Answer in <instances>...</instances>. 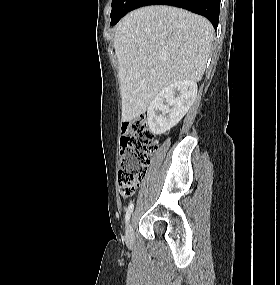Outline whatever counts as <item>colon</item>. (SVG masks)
I'll return each instance as SVG.
<instances>
[{
	"label": "colon",
	"instance_id": "1",
	"mask_svg": "<svg viewBox=\"0 0 280 285\" xmlns=\"http://www.w3.org/2000/svg\"><path fill=\"white\" fill-rule=\"evenodd\" d=\"M157 150V141L144 117L126 122L122 127L118 185L120 194H134L147 171L150 156Z\"/></svg>",
	"mask_w": 280,
	"mask_h": 285
}]
</instances>
